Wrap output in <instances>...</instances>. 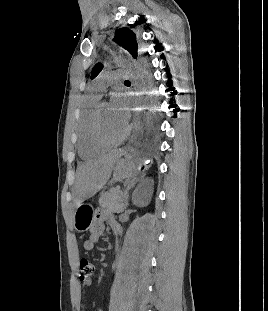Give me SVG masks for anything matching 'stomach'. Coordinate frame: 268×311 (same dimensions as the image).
<instances>
[{"instance_id": "obj_1", "label": "stomach", "mask_w": 268, "mask_h": 311, "mask_svg": "<svg viewBox=\"0 0 268 311\" xmlns=\"http://www.w3.org/2000/svg\"><path fill=\"white\" fill-rule=\"evenodd\" d=\"M140 162L133 153H125L123 158H119L113 169L111 184L134 177L140 168ZM94 215L91 207L80 204L74 213V228L78 232L90 229Z\"/></svg>"}]
</instances>
